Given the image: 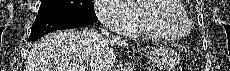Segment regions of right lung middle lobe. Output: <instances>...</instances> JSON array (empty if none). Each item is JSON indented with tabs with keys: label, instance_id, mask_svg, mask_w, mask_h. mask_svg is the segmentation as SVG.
I'll return each mask as SVG.
<instances>
[{
	"label": "right lung middle lobe",
	"instance_id": "dd1d6c3e",
	"mask_svg": "<svg viewBox=\"0 0 230 71\" xmlns=\"http://www.w3.org/2000/svg\"><path fill=\"white\" fill-rule=\"evenodd\" d=\"M75 14L97 18L92 0H41L37 16Z\"/></svg>",
	"mask_w": 230,
	"mask_h": 71
}]
</instances>
